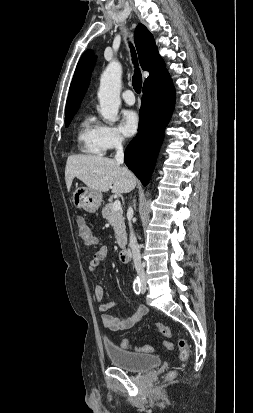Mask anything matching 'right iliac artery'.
Wrapping results in <instances>:
<instances>
[{"label":"right iliac artery","mask_w":253,"mask_h":413,"mask_svg":"<svg viewBox=\"0 0 253 413\" xmlns=\"http://www.w3.org/2000/svg\"><path fill=\"white\" fill-rule=\"evenodd\" d=\"M133 289L136 294H140L141 292V283L139 277L134 280Z\"/></svg>","instance_id":"right-iliac-artery-1"}]
</instances>
